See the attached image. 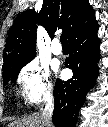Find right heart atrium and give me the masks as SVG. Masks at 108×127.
Instances as JSON below:
<instances>
[{
    "instance_id": "right-heart-atrium-1",
    "label": "right heart atrium",
    "mask_w": 108,
    "mask_h": 127,
    "mask_svg": "<svg viewBox=\"0 0 108 127\" xmlns=\"http://www.w3.org/2000/svg\"><path fill=\"white\" fill-rule=\"evenodd\" d=\"M17 82L22 97L31 104H38L52 96V83L47 67L37 61L28 62L20 70Z\"/></svg>"
}]
</instances>
